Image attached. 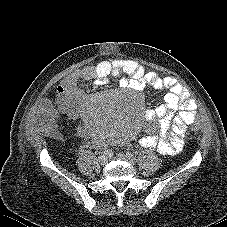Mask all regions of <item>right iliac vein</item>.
<instances>
[{
  "mask_svg": "<svg viewBox=\"0 0 227 227\" xmlns=\"http://www.w3.org/2000/svg\"><path fill=\"white\" fill-rule=\"evenodd\" d=\"M108 161V158L105 156V155H101L99 158H98V162L101 164V165H105Z\"/></svg>",
  "mask_w": 227,
  "mask_h": 227,
  "instance_id": "1",
  "label": "right iliac vein"
}]
</instances>
